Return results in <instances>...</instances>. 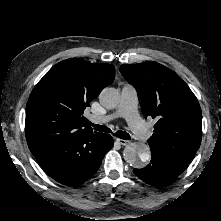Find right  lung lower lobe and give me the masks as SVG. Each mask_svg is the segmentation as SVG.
Listing matches in <instances>:
<instances>
[{
	"instance_id": "1",
	"label": "right lung lower lobe",
	"mask_w": 221,
	"mask_h": 221,
	"mask_svg": "<svg viewBox=\"0 0 221 221\" xmlns=\"http://www.w3.org/2000/svg\"><path fill=\"white\" fill-rule=\"evenodd\" d=\"M113 138L102 133H83L35 155L44 171L66 186H79L100 167L113 147Z\"/></svg>"
}]
</instances>
